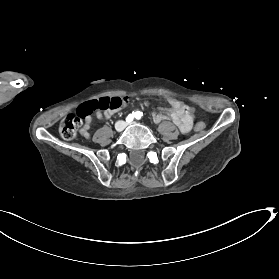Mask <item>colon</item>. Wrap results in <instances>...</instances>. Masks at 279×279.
Listing matches in <instances>:
<instances>
[{"label":"colon","mask_w":279,"mask_h":279,"mask_svg":"<svg viewBox=\"0 0 279 279\" xmlns=\"http://www.w3.org/2000/svg\"><path fill=\"white\" fill-rule=\"evenodd\" d=\"M127 103L125 97H104L97 100H91L82 103L75 113L68 114L60 123L59 132L61 136L66 140L74 139L79 131L82 123V119H85L95 111H108V110H120ZM185 110L192 116L196 113V107L191 104L181 102ZM206 124L203 121H198L195 124V130L203 131Z\"/></svg>","instance_id":"5ec220e1"}]
</instances>
